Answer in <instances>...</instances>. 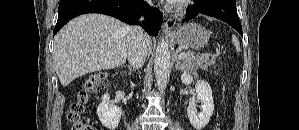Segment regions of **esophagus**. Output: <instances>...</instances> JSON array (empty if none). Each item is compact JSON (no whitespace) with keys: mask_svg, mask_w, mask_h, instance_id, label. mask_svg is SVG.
<instances>
[{"mask_svg":"<svg viewBox=\"0 0 299 130\" xmlns=\"http://www.w3.org/2000/svg\"><path fill=\"white\" fill-rule=\"evenodd\" d=\"M176 24V20L173 18H167L163 24V30L165 33H171L172 29Z\"/></svg>","mask_w":299,"mask_h":130,"instance_id":"1","label":"esophagus"}]
</instances>
